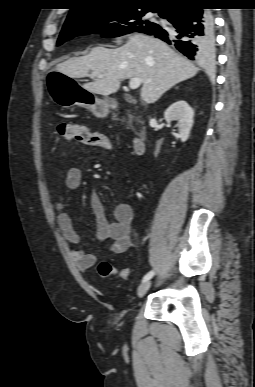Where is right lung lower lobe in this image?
<instances>
[{
	"label": "right lung lower lobe",
	"instance_id": "1",
	"mask_svg": "<svg viewBox=\"0 0 255 387\" xmlns=\"http://www.w3.org/2000/svg\"><path fill=\"white\" fill-rule=\"evenodd\" d=\"M203 6L199 0L172 6L163 16L171 25L149 27L143 33L175 46L191 60L209 63L215 52L214 22L211 11Z\"/></svg>",
	"mask_w": 255,
	"mask_h": 387
}]
</instances>
